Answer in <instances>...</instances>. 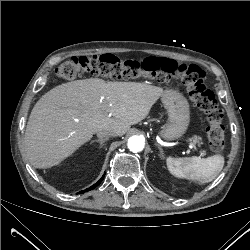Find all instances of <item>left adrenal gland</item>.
Instances as JSON below:
<instances>
[{
	"label": "left adrenal gland",
	"instance_id": "left-adrenal-gland-1",
	"mask_svg": "<svg viewBox=\"0 0 250 250\" xmlns=\"http://www.w3.org/2000/svg\"><path fill=\"white\" fill-rule=\"evenodd\" d=\"M156 146H157L158 149H159L160 157H161V158H164V153H163V150H162L161 146H160L159 144H157V143H156Z\"/></svg>",
	"mask_w": 250,
	"mask_h": 250
}]
</instances>
